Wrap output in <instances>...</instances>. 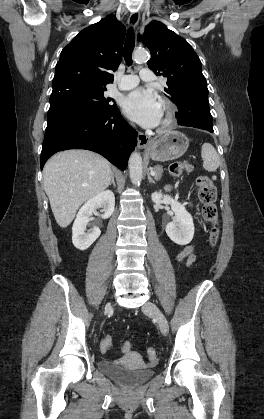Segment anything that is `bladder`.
<instances>
[{
    "mask_svg": "<svg viewBox=\"0 0 264 419\" xmlns=\"http://www.w3.org/2000/svg\"><path fill=\"white\" fill-rule=\"evenodd\" d=\"M98 367L107 376L125 387H136L148 381L154 375L152 367L131 369L109 360H100Z\"/></svg>",
    "mask_w": 264,
    "mask_h": 419,
    "instance_id": "obj_1",
    "label": "bladder"
}]
</instances>
